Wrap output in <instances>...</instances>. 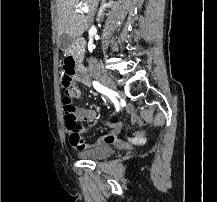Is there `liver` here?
Instances as JSON below:
<instances>
[{"mask_svg": "<svg viewBox=\"0 0 217 202\" xmlns=\"http://www.w3.org/2000/svg\"><path fill=\"white\" fill-rule=\"evenodd\" d=\"M80 2H82V8L85 6L87 8L83 10L84 14H89L90 0H56L59 34H69L71 38H80L85 30H88L90 20L87 16L75 12Z\"/></svg>", "mask_w": 217, "mask_h": 202, "instance_id": "1", "label": "liver"}]
</instances>
